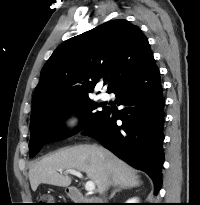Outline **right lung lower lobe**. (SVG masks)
I'll use <instances>...</instances> for the list:
<instances>
[{
    "mask_svg": "<svg viewBox=\"0 0 200 205\" xmlns=\"http://www.w3.org/2000/svg\"><path fill=\"white\" fill-rule=\"evenodd\" d=\"M160 72L149 65L113 91L121 111L107 108L96 124L87 128L102 146L131 166L146 172L161 187L163 165L164 98ZM121 120L122 124H117Z\"/></svg>",
    "mask_w": 200,
    "mask_h": 205,
    "instance_id": "obj_1",
    "label": "right lung lower lobe"
}]
</instances>
